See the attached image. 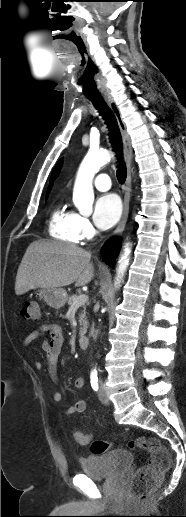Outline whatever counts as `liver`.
Returning <instances> with one entry per match:
<instances>
[{"label":"liver","instance_id":"liver-1","mask_svg":"<svg viewBox=\"0 0 186 517\" xmlns=\"http://www.w3.org/2000/svg\"><path fill=\"white\" fill-rule=\"evenodd\" d=\"M94 277L91 253L74 244L35 241L27 248L19 265L16 295L35 288H61L75 283L88 284Z\"/></svg>","mask_w":186,"mask_h":517}]
</instances>
